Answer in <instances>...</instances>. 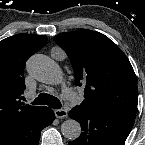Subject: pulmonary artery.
I'll use <instances>...</instances> for the list:
<instances>
[{
    "mask_svg": "<svg viewBox=\"0 0 145 145\" xmlns=\"http://www.w3.org/2000/svg\"><path fill=\"white\" fill-rule=\"evenodd\" d=\"M65 95L67 97H69L71 100H76L77 99V96L74 93H71L70 91H66Z\"/></svg>",
    "mask_w": 145,
    "mask_h": 145,
    "instance_id": "1",
    "label": "pulmonary artery"
}]
</instances>
